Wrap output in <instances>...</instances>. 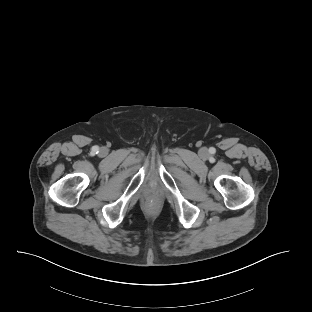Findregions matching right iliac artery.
<instances>
[{
    "label": "right iliac artery",
    "instance_id": "82829eb1",
    "mask_svg": "<svg viewBox=\"0 0 312 312\" xmlns=\"http://www.w3.org/2000/svg\"><path fill=\"white\" fill-rule=\"evenodd\" d=\"M97 150H98V149L96 148V150H95V151H96V153H98V152H97Z\"/></svg>",
    "mask_w": 312,
    "mask_h": 312
}]
</instances>
